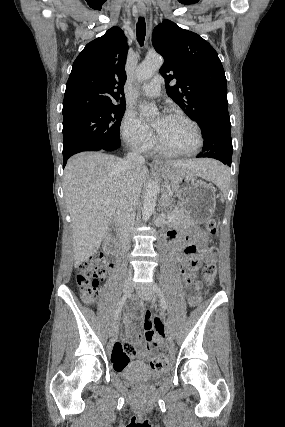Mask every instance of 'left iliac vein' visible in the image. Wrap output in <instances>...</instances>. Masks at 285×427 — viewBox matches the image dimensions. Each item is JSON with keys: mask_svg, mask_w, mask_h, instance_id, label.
<instances>
[{"mask_svg": "<svg viewBox=\"0 0 285 427\" xmlns=\"http://www.w3.org/2000/svg\"><path fill=\"white\" fill-rule=\"evenodd\" d=\"M137 293L146 301H152L154 297V292L151 288H139L137 290ZM166 336L167 338L172 341L174 339V327L170 319H167L166 321Z\"/></svg>", "mask_w": 285, "mask_h": 427, "instance_id": "obj_1", "label": "left iliac vein"}]
</instances>
